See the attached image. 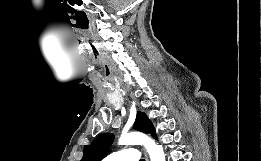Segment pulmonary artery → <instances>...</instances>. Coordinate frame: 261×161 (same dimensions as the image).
Here are the masks:
<instances>
[{
    "label": "pulmonary artery",
    "instance_id": "obj_1",
    "mask_svg": "<svg viewBox=\"0 0 261 161\" xmlns=\"http://www.w3.org/2000/svg\"><path fill=\"white\" fill-rule=\"evenodd\" d=\"M139 153L136 149H120L108 156H106L102 161H138Z\"/></svg>",
    "mask_w": 261,
    "mask_h": 161
}]
</instances>
